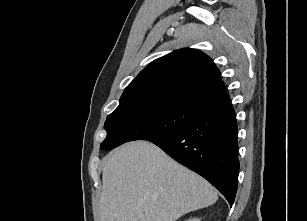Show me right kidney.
<instances>
[{
    "mask_svg": "<svg viewBox=\"0 0 307 221\" xmlns=\"http://www.w3.org/2000/svg\"><path fill=\"white\" fill-rule=\"evenodd\" d=\"M187 221H200V219L194 218V219H189V220H187Z\"/></svg>",
    "mask_w": 307,
    "mask_h": 221,
    "instance_id": "right-kidney-1",
    "label": "right kidney"
}]
</instances>
